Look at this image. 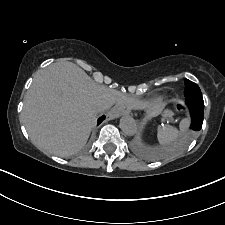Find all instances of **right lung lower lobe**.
Instances as JSON below:
<instances>
[{"label":"right lung lower lobe","mask_w":225,"mask_h":225,"mask_svg":"<svg viewBox=\"0 0 225 225\" xmlns=\"http://www.w3.org/2000/svg\"><path fill=\"white\" fill-rule=\"evenodd\" d=\"M104 118H105V116H102L101 118H99L98 124L101 123Z\"/></svg>","instance_id":"98d812e1"}]
</instances>
